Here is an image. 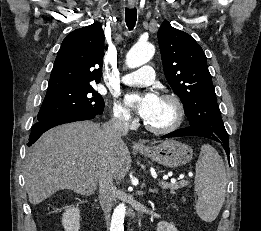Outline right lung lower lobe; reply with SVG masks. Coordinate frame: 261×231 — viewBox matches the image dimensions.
I'll return each instance as SVG.
<instances>
[{"instance_id": "obj_1", "label": "right lung lower lobe", "mask_w": 261, "mask_h": 231, "mask_svg": "<svg viewBox=\"0 0 261 231\" xmlns=\"http://www.w3.org/2000/svg\"><path fill=\"white\" fill-rule=\"evenodd\" d=\"M97 115L99 114L92 113V112H77V113L61 115L45 121L37 122L36 124L33 125L31 129V134L29 136V143L27 145L31 146L45 131L49 130L54 126L64 124V123L74 122V121L93 119Z\"/></svg>"}]
</instances>
